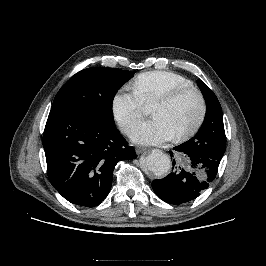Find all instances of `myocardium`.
<instances>
[{
    "instance_id": "f54148a6",
    "label": "myocardium",
    "mask_w": 266,
    "mask_h": 266,
    "mask_svg": "<svg viewBox=\"0 0 266 266\" xmlns=\"http://www.w3.org/2000/svg\"><path fill=\"white\" fill-rule=\"evenodd\" d=\"M189 93L195 94L198 98L199 114H198L197 119L194 122V124L188 130L175 136V139L177 141L189 139L190 137L195 135L198 132V130L201 128V126L205 120L206 112H207V103H206V99H205L203 93L198 88L193 87V86L181 87V88H177L175 90L168 92L167 94L163 95L162 97L157 99L152 104V106L170 105V104H173L174 102H176L178 99H180L184 95L189 94Z\"/></svg>"
}]
</instances>
